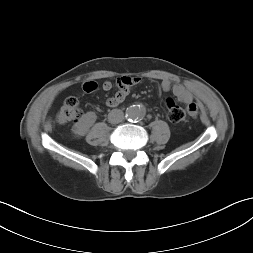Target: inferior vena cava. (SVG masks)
<instances>
[{"instance_id":"1","label":"inferior vena cava","mask_w":253,"mask_h":253,"mask_svg":"<svg viewBox=\"0 0 253 253\" xmlns=\"http://www.w3.org/2000/svg\"><path fill=\"white\" fill-rule=\"evenodd\" d=\"M123 119L124 113L120 109H113L108 115L109 122L113 124L120 123Z\"/></svg>"}]
</instances>
